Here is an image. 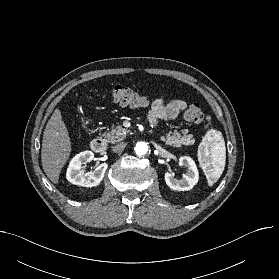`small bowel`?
Wrapping results in <instances>:
<instances>
[{
	"mask_svg": "<svg viewBox=\"0 0 279 279\" xmlns=\"http://www.w3.org/2000/svg\"><path fill=\"white\" fill-rule=\"evenodd\" d=\"M186 101L181 99L165 102L164 96H160L151 105L148 118L152 124H157L161 120H174L187 108Z\"/></svg>",
	"mask_w": 279,
	"mask_h": 279,
	"instance_id": "small-bowel-1",
	"label": "small bowel"
}]
</instances>
